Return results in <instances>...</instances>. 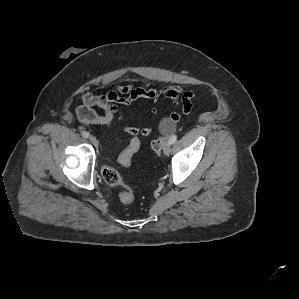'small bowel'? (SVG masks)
<instances>
[{"label": "small bowel", "mask_w": 299, "mask_h": 299, "mask_svg": "<svg viewBox=\"0 0 299 299\" xmlns=\"http://www.w3.org/2000/svg\"><path fill=\"white\" fill-rule=\"evenodd\" d=\"M82 105L77 108V116L85 125H108L116 118L124 125V130L132 137L147 136L152 132L151 127H138L127 124L120 115L119 107L130 105L138 100H147L153 106L152 112L157 113L156 104L164 99H171L176 103V109L169 116L172 124L178 123L183 117L190 114L194 94L184 91L177 86L165 87L163 89L141 88L134 84H120L115 90L104 95H95L86 92L82 95ZM103 110L99 114L95 108Z\"/></svg>", "instance_id": "small-bowel-1"}]
</instances>
